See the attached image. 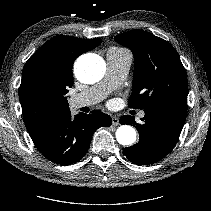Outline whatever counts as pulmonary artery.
<instances>
[{
    "mask_svg": "<svg viewBox=\"0 0 211 211\" xmlns=\"http://www.w3.org/2000/svg\"><path fill=\"white\" fill-rule=\"evenodd\" d=\"M106 61L107 72L105 78L97 85L71 96L69 98L71 108L78 109L102 101L113 88L127 77L132 62L129 52L111 48L107 51ZM144 115V112L139 114L140 117H144Z\"/></svg>",
    "mask_w": 211,
    "mask_h": 211,
    "instance_id": "e3ab8cb5",
    "label": "pulmonary artery"
}]
</instances>
